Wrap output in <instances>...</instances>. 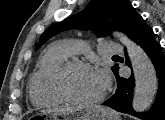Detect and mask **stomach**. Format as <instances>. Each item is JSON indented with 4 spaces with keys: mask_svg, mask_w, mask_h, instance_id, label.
Instances as JSON below:
<instances>
[{
    "mask_svg": "<svg viewBox=\"0 0 165 120\" xmlns=\"http://www.w3.org/2000/svg\"><path fill=\"white\" fill-rule=\"evenodd\" d=\"M120 120L118 114L107 107L90 106L85 108H78L72 112H42L33 115L30 119L38 120L41 118L49 120Z\"/></svg>",
    "mask_w": 165,
    "mask_h": 120,
    "instance_id": "obj_1",
    "label": "stomach"
}]
</instances>
